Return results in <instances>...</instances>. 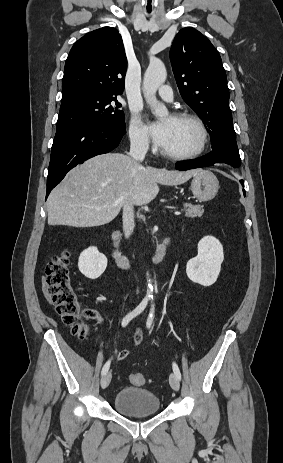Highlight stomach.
<instances>
[{"mask_svg": "<svg viewBox=\"0 0 283 463\" xmlns=\"http://www.w3.org/2000/svg\"><path fill=\"white\" fill-rule=\"evenodd\" d=\"M190 189L200 202L209 201L216 196L219 181L211 171L199 169V172L193 176Z\"/></svg>", "mask_w": 283, "mask_h": 463, "instance_id": "stomach-1", "label": "stomach"}]
</instances>
